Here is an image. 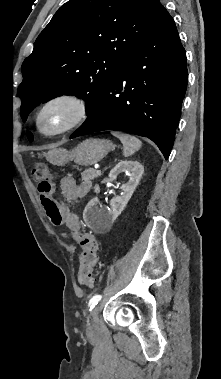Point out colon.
Listing matches in <instances>:
<instances>
[{"mask_svg": "<svg viewBox=\"0 0 221 379\" xmlns=\"http://www.w3.org/2000/svg\"><path fill=\"white\" fill-rule=\"evenodd\" d=\"M33 179L38 183L39 193L48 194L52 186V170L44 163H37L32 170ZM58 221V220H56ZM73 237L82 247L80 259V268L78 279L82 285L92 286L94 279L92 277L93 268L98 262L100 247L95 236L86 232H74Z\"/></svg>", "mask_w": 221, "mask_h": 379, "instance_id": "obj_1", "label": "colon"}]
</instances>
